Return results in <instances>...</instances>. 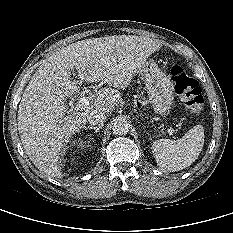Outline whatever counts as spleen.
I'll return each instance as SVG.
<instances>
[{
  "label": "spleen",
  "mask_w": 233,
  "mask_h": 233,
  "mask_svg": "<svg viewBox=\"0 0 233 233\" xmlns=\"http://www.w3.org/2000/svg\"><path fill=\"white\" fill-rule=\"evenodd\" d=\"M204 145V129L196 125L178 140L159 139L153 142L152 152L162 171L175 172L189 167Z\"/></svg>",
  "instance_id": "obj_1"
}]
</instances>
